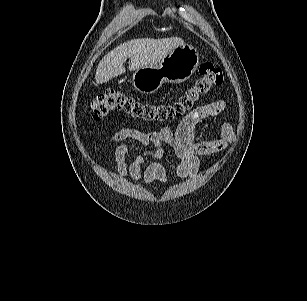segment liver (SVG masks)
<instances>
[{
    "label": "liver",
    "mask_w": 307,
    "mask_h": 301,
    "mask_svg": "<svg viewBox=\"0 0 307 301\" xmlns=\"http://www.w3.org/2000/svg\"><path fill=\"white\" fill-rule=\"evenodd\" d=\"M182 44L184 41L178 37L127 41L107 53L99 62L95 75L96 83H106L125 73L124 63L127 58H130L129 70H137L159 62Z\"/></svg>",
    "instance_id": "6515ba94"
}]
</instances>
